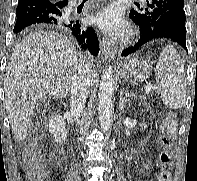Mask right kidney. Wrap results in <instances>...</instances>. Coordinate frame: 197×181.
I'll return each mask as SVG.
<instances>
[{
    "mask_svg": "<svg viewBox=\"0 0 197 181\" xmlns=\"http://www.w3.org/2000/svg\"><path fill=\"white\" fill-rule=\"evenodd\" d=\"M48 127L49 132L56 143H65L68 131L65 128L64 119L61 116H51Z\"/></svg>",
    "mask_w": 197,
    "mask_h": 181,
    "instance_id": "ca27d5eb",
    "label": "right kidney"
}]
</instances>
